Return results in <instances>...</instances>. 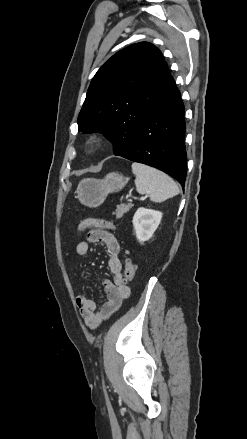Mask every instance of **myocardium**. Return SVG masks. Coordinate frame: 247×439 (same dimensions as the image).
Returning <instances> with one entry per match:
<instances>
[{
  "mask_svg": "<svg viewBox=\"0 0 247 439\" xmlns=\"http://www.w3.org/2000/svg\"><path fill=\"white\" fill-rule=\"evenodd\" d=\"M98 144V138L96 136H90L86 141L87 148H95Z\"/></svg>",
  "mask_w": 247,
  "mask_h": 439,
  "instance_id": "obj_1",
  "label": "myocardium"
}]
</instances>
